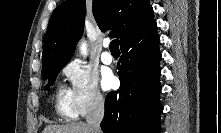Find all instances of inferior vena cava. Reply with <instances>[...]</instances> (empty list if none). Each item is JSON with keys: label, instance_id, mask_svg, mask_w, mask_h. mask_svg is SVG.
Segmentation results:
<instances>
[{"label": "inferior vena cava", "instance_id": "obj_1", "mask_svg": "<svg viewBox=\"0 0 221 133\" xmlns=\"http://www.w3.org/2000/svg\"><path fill=\"white\" fill-rule=\"evenodd\" d=\"M104 116V99L97 96L88 110L86 116L87 125L91 129V133H101L100 124Z\"/></svg>", "mask_w": 221, "mask_h": 133}]
</instances>
